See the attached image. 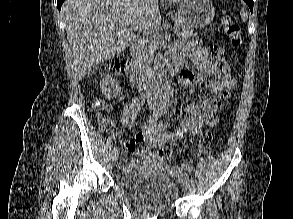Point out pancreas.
<instances>
[{
    "instance_id": "cf45deb5",
    "label": "pancreas",
    "mask_w": 293,
    "mask_h": 219,
    "mask_svg": "<svg viewBox=\"0 0 293 219\" xmlns=\"http://www.w3.org/2000/svg\"><path fill=\"white\" fill-rule=\"evenodd\" d=\"M174 31L177 35L182 37H195L197 34L194 32L193 27L182 19H175ZM160 35L157 31H153L148 35L147 45L150 53H154Z\"/></svg>"
}]
</instances>
